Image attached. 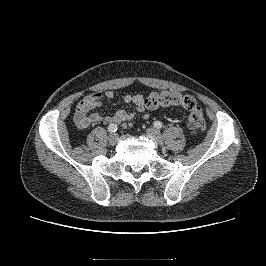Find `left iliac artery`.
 Returning a JSON list of instances; mask_svg holds the SVG:
<instances>
[{"label":"left iliac artery","instance_id":"44dca946","mask_svg":"<svg viewBox=\"0 0 266 266\" xmlns=\"http://www.w3.org/2000/svg\"><path fill=\"white\" fill-rule=\"evenodd\" d=\"M154 127L158 128V129L162 128V122H160V121H155V122H154Z\"/></svg>","mask_w":266,"mask_h":266}]
</instances>
